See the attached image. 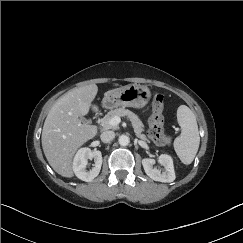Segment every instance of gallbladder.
Listing matches in <instances>:
<instances>
[{
    "label": "gallbladder",
    "mask_w": 243,
    "mask_h": 243,
    "mask_svg": "<svg viewBox=\"0 0 243 243\" xmlns=\"http://www.w3.org/2000/svg\"><path fill=\"white\" fill-rule=\"evenodd\" d=\"M81 119H82V121H83V122H87V120H86V119H84L83 117H81Z\"/></svg>",
    "instance_id": "bac80fb5"
}]
</instances>
